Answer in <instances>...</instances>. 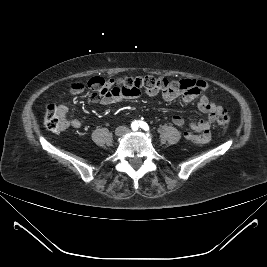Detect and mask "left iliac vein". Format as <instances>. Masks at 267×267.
<instances>
[{
    "instance_id": "4c4485c4",
    "label": "left iliac vein",
    "mask_w": 267,
    "mask_h": 267,
    "mask_svg": "<svg viewBox=\"0 0 267 267\" xmlns=\"http://www.w3.org/2000/svg\"><path fill=\"white\" fill-rule=\"evenodd\" d=\"M130 132V130H127V133H129Z\"/></svg>"
}]
</instances>
